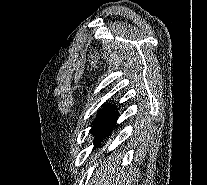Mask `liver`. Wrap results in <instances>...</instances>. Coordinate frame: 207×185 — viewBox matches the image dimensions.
Here are the masks:
<instances>
[{
  "mask_svg": "<svg viewBox=\"0 0 207 185\" xmlns=\"http://www.w3.org/2000/svg\"><path fill=\"white\" fill-rule=\"evenodd\" d=\"M120 157L119 153H112L107 159H104L89 183H97V185H133L131 171L123 173L120 169V165H122Z\"/></svg>",
  "mask_w": 207,
  "mask_h": 185,
  "instance_id": "obj_1",
  "label": "liver"
}]
</instances>
